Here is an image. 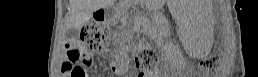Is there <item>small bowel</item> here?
Instances as JSON below:
<instances>
[{
  "label": "small bowel",
  "mask_w": 258,
  "mask_h": 77,
  "mask_svg": "<svg viewBox=\"0 0 258 77\" xmlns=\"http://www.w3.org/2000/svg\"><path fill=\"white\" fill-rule=\"evenodd\" d=\"M82 51H83V53H84L85 61H87V62L92 61V55H91L89 52H87L86 50H82ZM115 67H117V64H116V62L113 60L112 63L110 64V68H111V70L114 71V72L117 71V68H115Z\"/></svg>",
  "instance_id": "obj_1"
}]
</instances>
